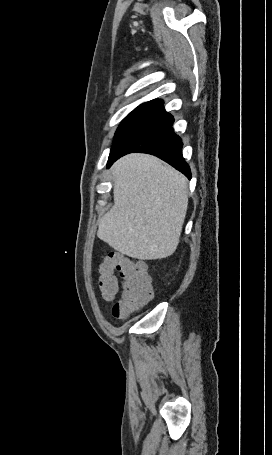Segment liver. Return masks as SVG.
<instances>
[{
    "instance_id": "obj_1",
    "label": "liver",
    "mask_w": 272,
    "mask_h": 455,
    "mask_svg": "<svg viewBox=\"0 0 272 455\" xmlns=\"http://www.w3.org/2000/svg\"><path fill=\"white\" fill-rule=\"evenodd\" d=\"M111 170L114 205L98 222V238L140 260L172 255L188 207L186 178L146 154L126 155Z\"/></svg>"
}]
</instances>
